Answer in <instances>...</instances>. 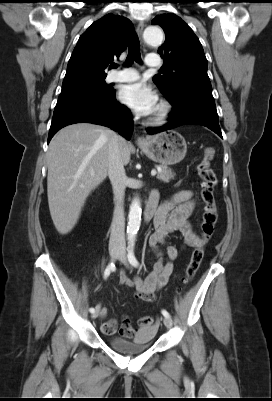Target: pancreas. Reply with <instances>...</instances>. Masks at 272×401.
I'll return each instance as SVG.
<instances>
[{
	"instance_id": "obj_1",
	"label": "pancreas",
	"mask_w": 272,
	"mask_h": 401,
	"mask_svg": "<svg viewBox=\"0 0 272 401\" xmlns=\"http://www.w3.org/2000/svg\"><path fill=\"white\" fill-rule=\"evenodd\" d=\"M174 177H175V173H173L172 170L169 169L165 165L161 166V171L158 172V174H157V179H159L165 183L170 182V180L174 179Z\"/></svg>"
}]
</instances>
